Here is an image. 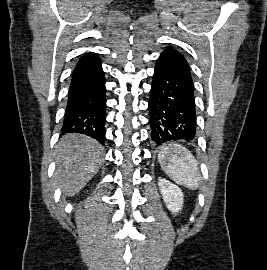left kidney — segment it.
<instances>
[{
  "mask_svg": "<svg viewBox=\"0 0 267 270\" xmlns=\"http://www.w3.org/2000/svg\"><path fill=\"white\" fill-rule=\"evenodd\" d=\"M158 186L160 188V192L162 194L166 207L173 214L181 211L184 199L182 190L175 184L162 178L159 179Z\"/></svg>",
  "mask_w": 267,
  "mask_h": 270,
  "instance_id": "5707ae66",
  "label": "left kidney"
}]
</instances>
